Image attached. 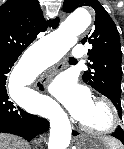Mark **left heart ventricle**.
<instances>
[{
	"mask_svg": "<svg viewBox=\"0 0 124 149\" xmlns=\"http://www.w3.org/2000/svg\"><path fill=\"white\" fill-rule=\"evenodd\" d=\"M81 122L97 130L104 129L110 123L109 111L104 104L94 101Z\"/></svg>",
	"mask_w": 124,
	"mask_h": 149,
	"instance_id": "1",
	"label": "left heart ventricle"
}]
</instances>
